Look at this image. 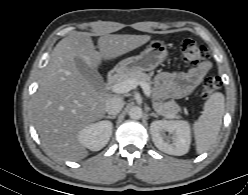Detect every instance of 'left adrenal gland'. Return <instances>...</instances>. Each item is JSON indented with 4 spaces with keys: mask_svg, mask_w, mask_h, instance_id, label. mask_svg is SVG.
I'll return each mask as SVG.
<instances>
[{
    "mask_svg": "<svg viewBox=\"0 0 248 195\" xmlns=\"http://www.w3.org/2000/svg\"><path fill=\"white\" fill-rule=\"evenodd\" d=\"M149 115H150V116H154V117H156V118L158 117V115H157L156 113H154V112L150 113Z\"/></svg>",
    "mask_w": 248,
    "mask_h": 195,
    "instance_id": "left-adrenal-gland-1",
    "label": "left adrenal gland"
}]
</instances>
